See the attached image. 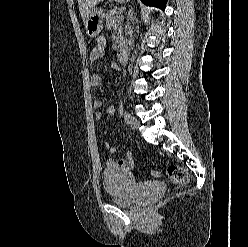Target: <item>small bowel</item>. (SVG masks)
Returning a JSON list of instances; mask_svg holds the SVG:
<instances>
[{"instance_id": "small-bowel-1", "label": "small bowel", "mask_w": 248, "mask_h": 247, "mask_svg": "<svg viewBox=\"0 0 248 247\" xmlns=\"http://www.w3.org/2000/svg\"><path fill=\"white\" fill-rule=\"evenodd\" d=\"M120 46L123 48L124 44L122 41H120ZM106 53V40L103 37H99L96 41V44L92 48L90 52V61L92 63L100 60L105 56ZM103 84L102 77L98 74H94L91 77V85L94 87H99ZM101 101L99 99H95L93 102V108L95 110H99L101 108ZM114 113V108L113 107H108L104 111H97L95 114V118L97 120H100L103 118L105 115L109 114L112 115ZM106 148L109 151V153L114 154L116 152V147L110 145L108 142H106ZM106 165L108 167L112 166H118V167H123L126 169H131L134 165L133 162V156L131 151H128L126 156L124 158H119V159H114V158H109L106 161Z\"/></svg>"}]
</instances>
